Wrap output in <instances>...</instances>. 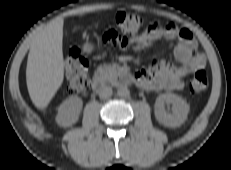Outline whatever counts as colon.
Here are the masks:
<instances>
[{
    "label": "colon",
    "mask_w": 231,
    "mask_h": 170,
    "mask_svg": "<svg viewBox=\"0 0 231 170\" xmlns=\"http://www.w3.org/2000/svg\"><path fill=\"white\" fill-rule=\"evenodd\" d=\"M114 22L120 33L134 37L137 36L143 26L144 19L141 15L120 11L114 17ZM65 70L68 84L65 89L68 95L83 94L89 83L88 62L77 48L69 50L65 58ZM208 87L207 73L202 70H196L189 84L192 93H200Z\"/></svg>",
    "instance_id": "5ec220e1"
}]
</instances>
